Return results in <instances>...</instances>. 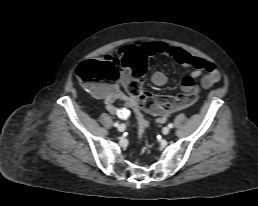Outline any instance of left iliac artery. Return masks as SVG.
<instances>
[{"label": "left iliac artery", "instance_id": "obj_1", "mask_svg": "<svg viewBox=\"0 0 258 206\" xmlns=\"http://www.w3.org/2000/svg\"><path fill=\"white\" fill-rule=\"evenodd\" d=\"M168 127H169V128H173V124H172V123H169V124H168Z\"/></svg>", "mask_w": 258, "mask_h": 206}]
</instances>
